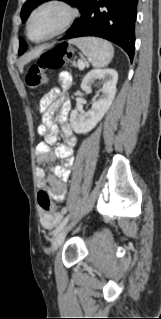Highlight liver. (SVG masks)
Listing matches in <instances>:
<instances>
[{
    "label": "liver",
    "mask_w": 161,
    "mask_h": 319,
    "mask_svg": "<svg viewBox=\"0 0 161 319\" xmlns=\"http://www.w3.org/2000/svg\"><path fill=\"white\" fill-rule=\"evenodd\" d=\"M43 51V48L39 47L29 53L24 54L19 61V71L22 73L24 66L29 63L32 59L38 57Z\"/></svg>",
    "instance_id": "1"
}]
</instances>
